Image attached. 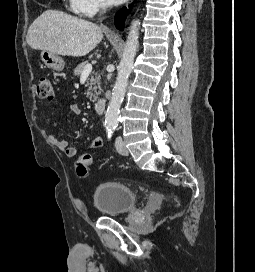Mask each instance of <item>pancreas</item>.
Segmentation results:
<instances>
[{"instance_id":"1","label":"pancreas","mask_w":255,"mask_h":272,"mask_svg":"<svg viewBox=\"0 0 255 272\" xmlns=\"http://www.w3.org/2000/svg\"><path fill=\"white\" fill-rule=\"evenodd\" d=\"M87 64H88V62L85 61V62H82L79 65H77V67L74 69V75L77 77L81 76V74ZM87 85L89 86V89L87 91V97H89L90 101L95 102L101 93L100 74L95 73L94 75H91L87 81Z\"/></svg>"}]
</instances>
